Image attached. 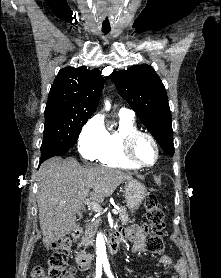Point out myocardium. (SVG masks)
Here are the masks:
<instances>
[{"mask_svg": "<svg viewBox=\"0 0 221 278\" xmlns=\"http://www.w3.org/2000/svg\"><path fill=\"white\" fill-rule=\"evenodd\" d=\"M140 137L148 138L155 147L156 157H155V161L152 164H143L140 161H138L134 155V146H135L136 141ZM121 153L128 162H130L137 168H150V167H153L154 165H156L160 158V147L153 135H151L148 132L137 130V131L131 132L123 137L122 145H121Z\"/></svg>", "mask_w": 221, "mask_h": 278, "instance_id": "obj_1", "label": "myocardium"}]
</instances>
